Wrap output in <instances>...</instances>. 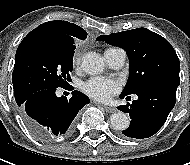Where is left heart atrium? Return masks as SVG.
I'll return each instance as SVG.
<instances>
[{"label": "left heart atrium", "instance_id": "left-heart-atrium-1", "mask_svg": "<svg viewBox=\"0 0 190 165\" xmlns=\"http://www.w3.org/2000/svg\"><path fill=\"white\" fill-rule=\"evenodd\" d=\"M120 84L115 79L92 77L82 84V91L89 97L106 102L120 91Z\"/></svg>", "mask_w": 190, "mask_h": 165}]
</instances>
